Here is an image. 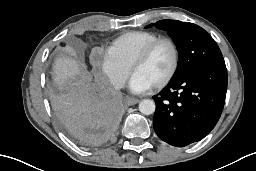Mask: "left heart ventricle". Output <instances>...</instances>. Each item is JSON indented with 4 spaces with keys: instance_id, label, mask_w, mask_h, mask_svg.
Wrapping results in <instances>:
<instances>
[{
    "instance_id": "1",
    "label": "left heart ventricle",
    "mask_w": 256,
    "mask_h": 171,
    "mask_svg": "<svg viewBox=\"0 0 256 171\" xmlns=\"http://www.w3.org/2000/svg\"><path fill=\"white\" fill-rule=\"evenodd\" d=\"M173 63V52L168 43L159 44L148 59L137 66L134 74L139 75L151 86L159 83L169 73Z\"/></svg>"
}]
</instances>
